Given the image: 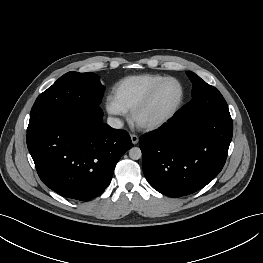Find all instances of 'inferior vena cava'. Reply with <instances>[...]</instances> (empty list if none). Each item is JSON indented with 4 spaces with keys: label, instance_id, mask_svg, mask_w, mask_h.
Instances as JSON below:
<instances>
[{
    "label": "inferior vena cava",
    "instance_id": "obj_1",
    "mask_svg": "<svg viewBox=\"0 0 263 263\" xmlns=\"http://www.w3.org/2000/svg\"><path fill=\"white\" fill-rule=\"evenodd\" d=\"M107 124L115 129H121L123 127V122L120 119L114 117H108Z\"/></svg>",
    "mask_w": 263,
    "mask_h": 263
}]
</instances>
